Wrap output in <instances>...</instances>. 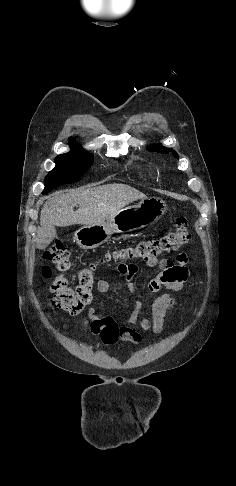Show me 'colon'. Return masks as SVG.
<instances>
[{
    "label": "colon",
    "instance_id": "colon-1",
    "mask_svg": "<svg viewBox=\"0 0 236 486\" xmlns=\"http://www.w3.org/2000/svg\"><path fill=\"white\" fill-rule=\"evenodd\" d=\"M190 238L191 233L187 220L181 217L176 222L175 230L163 233L157 238L141 240L134 246L119 250L114 256L124 260L144 259L147 261L177 251L186 245ZM43 257L59 272L67 270L70 264V253L60 241L49 245L44 250ZM43 272L45 277H50L49 266H45ZM94 272L95 265L93 264L79 270L78 284L75 287H71L63 275L55 276L50 285L53 305L71 314H77L83 310L92 299Z\"/></svg>",
    "mask_w": 236,
    "mask_h": 486
}]
</instances>
